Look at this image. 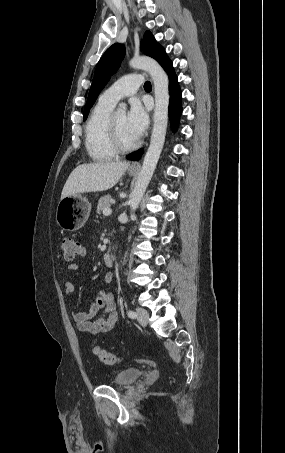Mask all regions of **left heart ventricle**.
<instances>
[{
    "label": "left heart ventricle",
    "mask_w": 285,
    "mask_h": 453,
    "mask_svg": "<svg viewBox=\"0 0 285 453\" xmlns=\"http://www.w3.org/2000/svg\"><path fill=\"white\" fill-rule=\"evenodd\" d=\"M115 122L118 128L120 138L124 144H132L137 140V138H135L128 129L126 122V114L124 112H119L115 114Z\"/></svg>",
    "instance_id": "b2bd125f"
}]
</instances>
